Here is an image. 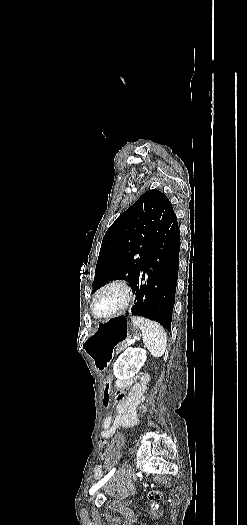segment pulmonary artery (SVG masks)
<instances>
[{
	"label": "pulmonary artery",
	"mask_w": 247,
	"mask_h": 525,
	"mask_svg": "<svg viewBox=\"0 0 247 525\" xmlns=\"http://www.w3.org/2000/svg\"><path fill=\"white\" fill-rule=\"evenodd\" d=\"M146 263H149V260H146Z\"/></svg>",
	"instance_id": "pulmonary-artery-1"
}]
</instances>
